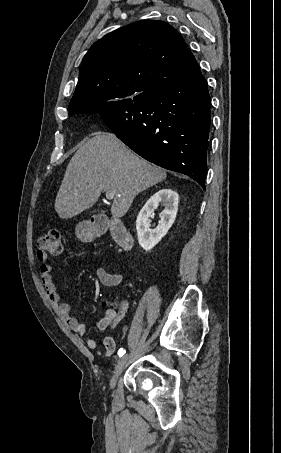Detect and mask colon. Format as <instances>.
I'll return each mask as SVG.
<instances>
[{
  "label": "colon",
  "mask_w": 281,
  "mask_h": 453,
  "mask_svg": "<svg viewBox=\"0 0 281 453\" xmlns=\"http://www.w3.org/2000/svg\"><path fill=\"white\" fill-rule=\"evenodd\" d=\"M61 228L49 226L46 234L40 240V248L37 255L39 262H46L49 258L59 257L62 253Z\"/></svg>",
  "instance_id": "colon-1"
}]
</instances>
